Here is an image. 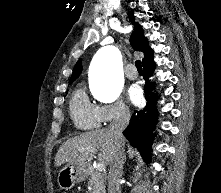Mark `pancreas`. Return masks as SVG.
<instances>
[{
  "instance_id": "pancreas-1",
  "label": "pancreas",
  "mask_w": 221,
  "mask_h": 193,
  "mask_svg": "<svg viewBox=\"0 0 221 193\" xmlns=\"http://www.w3.org/2000/svg\"><path fill=\"white\" fill-rule=\"evenodd\" d=\"M90 193H105V178L102 174L92 172L88 180Z\"/></svg>"
}]
</instances>
